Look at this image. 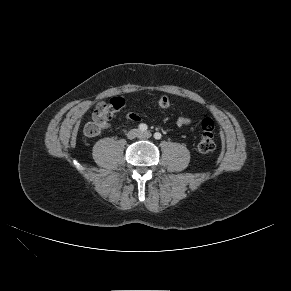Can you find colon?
<instances>
[{"instance_id": "obj_1", "label": "colon", "mask_w": 291, "mask_h": 291, "mask_svg": "<svg viewBox=\"0 0 291 291\" xmlns=\"http://www.w3.org/2000/svg\"><path fill=\"white\" fill-rule=\"evenodd\" d=\"M122 100V101H121ZM127 103V97L122 96L121 99H113L103 106L96 114L93 115L92 121L84 126V134L87 137H95L102 133L109 126L110 118L121 109L122 105ZM157 104L160 108L166 109L170 106V100L166 96L158 99ZM202 134L198 143V149L201 153H211L216 149V141L214 137L215 124L208 116H203L201 121Z\"/></svg>"}]
</instances>
